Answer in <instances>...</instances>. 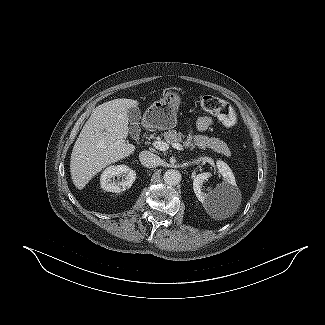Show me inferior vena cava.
I'll list each match as a JSON object with an SVG mask.
<instances>
[{"label":"inferior vena cava","mask_w":325,"mask_h":325,"mask_svg":"<svg viewBox=\"0 0 325 325\" xmlns=\"http://www.w3.org/2000/svg\"><path fill=\"white\" fill-rule=\"evenodd\" d=\"M139 160L145 167L152 168L158 166L160 158L150 151H142Z\"/></svg>","instance_id":"inferior-vena-cava-1"}]
</instances>
